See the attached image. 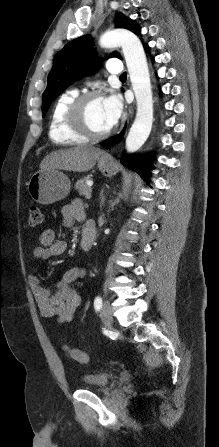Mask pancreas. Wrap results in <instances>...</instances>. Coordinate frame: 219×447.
Wrapping results in <instances>:
<instances>
[{
    "label": "pancreas",
    "mask_w": 219,
    "mask_h": 447,
    "mask_svg": "<svg viewBox=\"0 0 219 447\" xmlns=\"http://www.w3.org/2000/svg\"><path fill=\"white\" fill-rule=\"evenodd\" d=\"M91 180V177L87 176L78 180L75 184V189L78 190L80 195H85L91 192V188L87 185V181Z\"/></svg>",
    "instance_id": "cf45deb5"
}]
</instances>
